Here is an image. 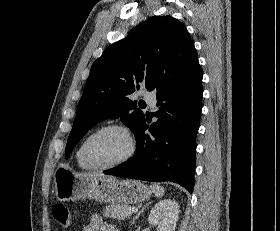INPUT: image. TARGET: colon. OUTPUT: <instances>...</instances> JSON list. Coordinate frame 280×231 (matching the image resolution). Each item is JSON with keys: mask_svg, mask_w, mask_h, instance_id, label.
I'll return each mask as SVG.
<instances>
[{"mask_svg": "<svg viewBox=\"0 0 280 231\" xmlns=\"http://www.w3.org/2000/svg\"><path fill=\"white\" fill-rule=\"evenodd\" d=\"M54 213L57 220H60V225H63V230L67 229L66 225H74V220H71V215H69L68 208L65 205H57V208H54Z\"/></svg>", "mask_w": 280, "mask_h": 231, "instance_id": "5ec220e1", "label": "colon"}]
</instances>
